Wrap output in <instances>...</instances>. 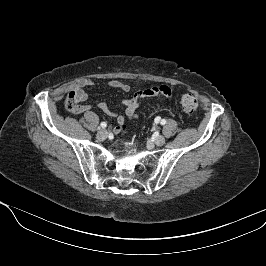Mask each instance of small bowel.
I'll return each mask as SVG.
<instances>
[{"label":"small bowel","mask_w":266,"mask_h":266,"mask_svg":"<svg viewBox=\"0 0 266 266\" xmlns=\"http://www.w3.org/2000/svg\"><path fill=\"white\" fill-rule=\"evenodd\" d=\"M94 85V82L89 79V78H85V79H81L79 80L74 86L72 91L76 93L77 95V105L75 106V108L72 110V112L74 114H83L88 112L91 109V106L88 104H85V102L88 99V95L85 91V88L87 87H91ZM108 85L111 88H115V89H119L121 91L124 92H128L130 90V86L124 82L118 81V80H112L108 83ZM173 96V90L166 85H161V86H154V87H150L147 88L143 91L138 92L137 94H135L133 97L131 98H127L124 99L122 104L124 106V112H125V116L129 119H133L137 117V108L139 106V99L141 97H162L165 99H171ZM98 108L110 115V116H115L118 123L120 124L119 126L115 127L113 129V131L115 133H118L121 131V125L124 124L126 118L122 115H115L113 114L108 105L104 102H100L98 104Z\"/></svg>","instance_id":"small-bowel-1"}]
</instances>
